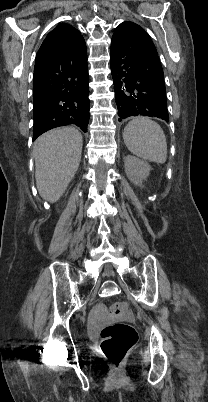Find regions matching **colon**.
<instances>
[{"label": "colon", "instance_id": "5ec220e1", "mask_svg": "<svg viewBox=\"0 0 208 402\" xmlns=\"http://www.w3.org/2000/svg\"><path fill=\"white\" fill-rule=\"evenodd\" d=\"M125 310L126 306L118 303L111 307L110 313L118 315ZM138 337L139 330L134 329L133 324H108L101 331L102 352L110 363L117 365L123 361L135 338ZM114 370L118 371L119 367L115 366Z\"/></svg>", "mask_w": 208, "mask_h": 402}]
</instances>
